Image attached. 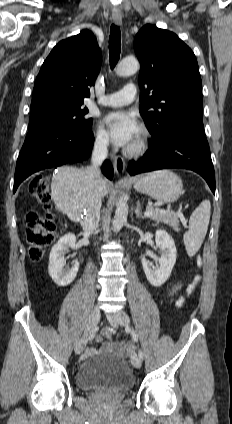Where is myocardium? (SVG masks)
<instances>
[{
    "label": "myocardium",
    "instance_id": "1",
    "mask_svg": "<svg viewBox=\"0 0 232 424\" xmlns=\"http://www.w3.org/2000/svg\"><path fill=\"white\" fill-rule=\"evenodd\" d=\"M148 147L149 133L142 128L139 137L126 148L125 154L130 157H139L147 151Z\"/></svg>",
    "mask_w": 232,
    "mask_h": 424
}]
</instances>
